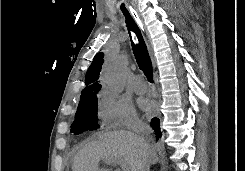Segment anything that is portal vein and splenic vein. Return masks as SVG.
I'll list each match as a JSON object with an SVG mask.
<instances>
[{"instance_id": "18ae733b", "label": "portal vein and splenic vein", "mask_w": 245, "mask_h": 171, "mask_svg": "<svg viewBox=\"0 0 245 171\" xmlns=\"http://www.w3.org/2000/svg\"><path fill=\"white\" fill-rule=\"evenodd\" d=\"M106 163L108 164H116L119 165L123 171H129L128 165L124 160H105Z\"/></svg>"}]
</instances>
